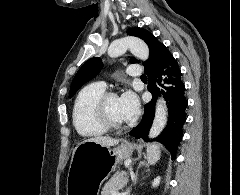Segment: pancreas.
Returning <instances> with one entry per match:
<instances>
[{
    "instance_id": "pancreas-1",
    "label": "pancreas",
    "mask_w": 240,
    "mask_h": 195,
    "mask_svg": "<svg viewBox=\"0 0 240 195\" xmlns=\"http://www.w3.org/2000/svg\"><path fill=\"white\" fill-rule=\"evenodd\" d=\"M126 175V171H122V173H119V171L118 173H114L113 177L104 183L101 195H112L114 191L118 193L119 189H122L128 181V177H126Z\"/></svg>"
}]
</instances>
